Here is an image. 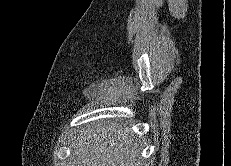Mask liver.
Returning a JSON list of instances; mask_svg holds the SVG:
<instances>
[{"instance_id": "1", "label": "liver", "mask_w": 231, "mask_h": 166, "mask_svg": "<svg viewBox=\"0 0 231 166\" xmlns=\"http://www.w3.org/2000/svg\"><path fill=\"white\" fill-rule=\"evenodd\" d=\"M140 140L122 123H91L70 144L75 166H140Z\"/></svg>"}]
</instances>
